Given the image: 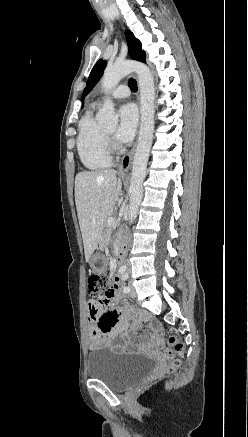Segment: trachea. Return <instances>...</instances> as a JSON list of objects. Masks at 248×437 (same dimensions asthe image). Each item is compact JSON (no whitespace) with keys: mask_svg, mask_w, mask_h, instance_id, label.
I'll use <instances>...</instances> for the list:
<instances>
[{"mask_svg":"<svg viewBox=\"0 0 248 437\" xmlns=\"http://www.w3.org/2000/svg\"><path fill=\"white\" fill-rule=\"evenodd\" d=\"M129 86H130L132 91H134V92L137 91V83L134 79L129 80Z\"/></svg>","mask_w":248,"mask_h":437,"instance_id":"1","label":"trachea"}]
</instances>
